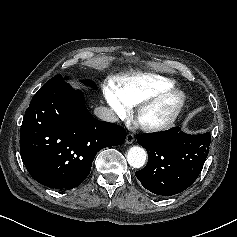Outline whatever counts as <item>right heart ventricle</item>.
Instances as JSON below:
<instances>
[{
    "label": "right heart ventricle",
    "mask_w": 237,
    "mask_h": 237,
    "mask_svg": "<svg viewBox=\"0 0 237 237\" xmlns=\"http://www.w3.org/2000/svg\"><path fill=\"white\" fill-rule=\"evenodd\" d=\"M113 84L131 106L174 87V82L170 79L148 73L120 76Z\"/></svg>",
    "instance_id": "right-heart-ventricle-1"
}]
</instances>
